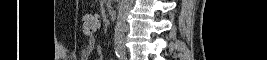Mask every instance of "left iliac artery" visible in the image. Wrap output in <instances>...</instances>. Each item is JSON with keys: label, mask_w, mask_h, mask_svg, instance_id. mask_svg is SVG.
<instances>
[{"label": "left iliac artery", "mask_w": 267, "mask_h": 60, "mask_svg": "<svg viewBox=\"0 0 267 60\" xmlns=\"http://www.w3.org/2000/svg\"><path fill=\"white\" fill-rule=\"evenodd\" d=\"M120 60H127V57L125 54H122L121 56H119Z\"/></svg>", "instance_id": "obj_1"}]
</instances>
